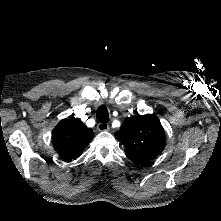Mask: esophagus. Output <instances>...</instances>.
<instances>
[{"instance_id": "obj_1", "label": "esophagus", "mask_w": 221, "mask_h": 221, "mask_svg": "<svg viewBox=\"0 0 221 221\" xmlns=\"http://www.w3.org/2000/svg\"><path fill=\"white\" fill-rule=\"evenodd\" d=\"M97 129H98L100 132H104V131H108V130L110 129V126H109V124H107V123H98Z\"/></svg>"}]
</instances>
